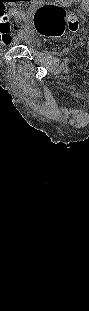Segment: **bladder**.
Segmentation results:
<instances>
[{
  "label": "bladder",
  "instance_id": "bladder-1",
  "mask_svg": "<svg viewBox=\"0 0 89 311\" xmlns=\"http://www.w3.org/2000/svg\"><path fill=\"white\" fill-rule=\"evenodd\" d=\"M22 44L25 45V46H27V47H30V48H35V47H37V43L35 42L34 39L25 40V41H23Z\"/></svg>",
  "mask_w": 89,
  "mask_h": 311
}]
</instances>
